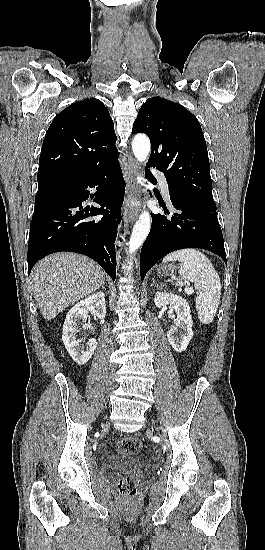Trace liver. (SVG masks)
Returning a JSON list of instances; mask_svg holds the SVG:
<instances>
[{
  "instance_id": "1",
  "label": "liver",
  "mask_w": 265,
  "mask_h": 550,
  "mask_svg": "<svg viewBox=\"0 0 265 550\" xmlns=\"http://www.w3.org/2000/svg\"><path fill=\"white\" fill-rule=\"evenodd\" d=\"M104 282L102 268L84 255L55 253L42 259L32 272V290L46 320L89 296Z\"/></svg>"
}]
</instances>
